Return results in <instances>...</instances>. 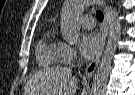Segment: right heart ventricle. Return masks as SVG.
Returning a JSON list of instances; mask_svg holds the SVG:
<instances>
[{
  "label": "right heart ventricle",
  "mask_w": 135,
  "mask_h": 95,
  "mask_svg": "<svg viewBox=\"0 0 135 95\" xmlns=\"http://www.w3.org/2000/svg\"><path fill=\"white\" fill-rule=\"evenodd\" d=\"M61 45L57 40L55 30L51 26L39 40L36 47L37 61L42 66H56L61 61Z\"/></svg>",
  "instance_id": "right-heart-ventricle-1"
}]
</instances>
